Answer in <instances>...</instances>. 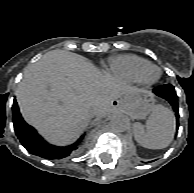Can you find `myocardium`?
I'll return each instance as SVG.
<instances>
[{"mask_svg":"<svg viewBox=\"0 0 194 193\" xmlns=\"http://www.w3.org/2000/svg\"><path fill=\"white\" fill-rule=\"evenodd\" d=\"M150 69H155L157 71V75L153 78L147 77V72ZM160 77H161V68L152 63L146 64L139 71V81L145 85L155 84L160 79Z\"/></svg>","mask_w":194,"mask_h":193,"instance_id":"f54148a6","label":"myocardium"}]
</instances>
